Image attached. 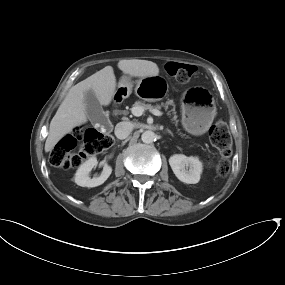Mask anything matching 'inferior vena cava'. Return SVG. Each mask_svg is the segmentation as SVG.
<instances>
[{"instance_id": "602c4592", "label": "inferior vena cava", "mask_w": 285, "mask_h": 285, "mask_svg": "<svg viewBox=\"0 0 285 285\" xmlns=\"http://www.w3.org/2000/svg\"><path fill=\"white\" fill-rule=\"evenodd\" d=\"M133 129V126L130 122H119L116 126H115V136L118 139H125L127 138L131 131Z\"/></svg>"}]
</instances>
